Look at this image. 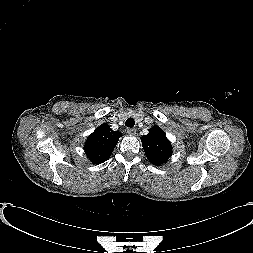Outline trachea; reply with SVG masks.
<instances>
[{
    "label": "trachea",
    "instance_id": "1",
    "mask_svg": "<svg viewBox=\"0 0 253 253\" xmlns=\"http://www.w3.org/2000/svg\"><path fill=\"white\" fill-rule=\"evenodd\" d=\"M125 125H126L127 127L132 128V127L135 125L134 119H133V118H128V119L126 120V122H125Z\"/></svg>",
    "mask_w": 253,
    "mask_h": 253
}]
</instances>
